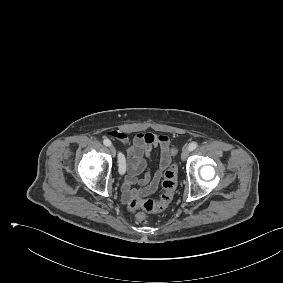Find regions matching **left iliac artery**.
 Returning <instances> with one entry per match:
<instances>
[{"label": "left iliac artery", "instance_id": "left-iliac-artery-1", "mask_svg": "<svg viewBox=\"0 0 283 283\" xmlns=\"http://www.w3.org/2000/svg\"><path fill=\"white\" fill-rule=\"evenodd\" d=\"M196 148H197V143H196V142H192V143H190L189 146H188V149H189L190 151H193V150H195Z\"/></svg>", "mask_w": 283, "mask_h": 283}]
</instances>
